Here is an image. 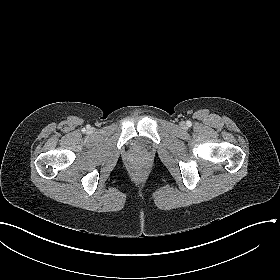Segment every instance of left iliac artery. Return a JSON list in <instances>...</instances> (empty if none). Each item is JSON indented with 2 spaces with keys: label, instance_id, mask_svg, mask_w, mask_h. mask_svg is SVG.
<instances>
[{
  "label": "left iliac artery",
  "instance_id": "obj_1",
  "mask_svg": "<svg viewBox=\"0 0 280 280\" xmlns=\"http://www.w3.org/2000/svg\"><path fill=\"white\" fill-rule=\"evenodd\" d=\"M189 127L192 125L190 121H187L186 123Z\"/></svg>",
  "mask_w": 280,
  "mask_h": 280
}]
</instances>
